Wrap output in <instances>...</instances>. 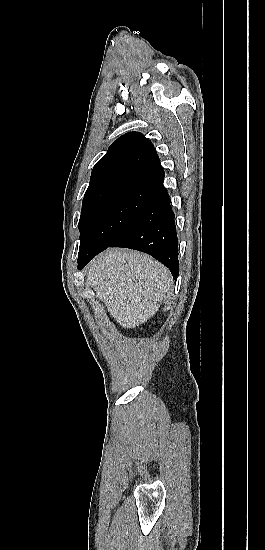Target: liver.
<instances>
[{
  "label": "liver",
  "mask_w": 265,
  "mask_h": 550,
  "mask_svg": "<svg viewBox=\"0 0 265 550\" xmlns=\"http://www.w3.org/2000/svg\"><path fill=\"white\" fill-rule=\"evenodd\" d=\"M86 279L124 328H135L153 317L172 282L169 270L152 257L117 248L98 255L89 264Z\"/></svg>",
  "instance_id": "6515ba94"
}]
</instances>
